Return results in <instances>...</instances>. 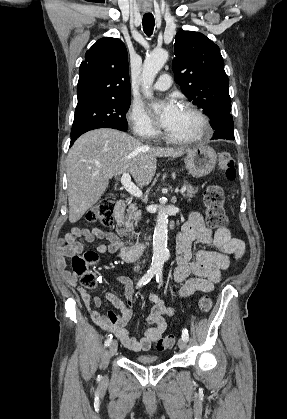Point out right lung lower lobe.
Returning <instances> with one entry per match:
<instances>
[{
	"mask_svg": "<svg viewBox=\"0 0 287 419\" xmlns=\"http://www.w3.org/2000/svg\"><path fill=\"white\" fill-rule=\"evenodd\" d=\"M75 141V140H74ZM74 141H71V145L74 143Z\"/></svg>",
	"mask_w": 287,
	"mask_h": 419,
	"instance_id": "obj_1",
	"label": "right lung lower lobe"
}]
</instances>
